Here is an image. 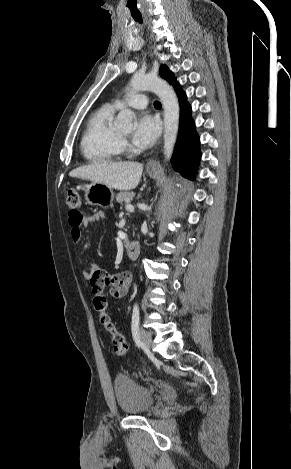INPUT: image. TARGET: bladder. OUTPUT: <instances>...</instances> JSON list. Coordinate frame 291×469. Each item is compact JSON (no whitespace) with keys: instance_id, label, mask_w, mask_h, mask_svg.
<instances>
[{"instance_id":"1","label":"bladder","mask_w":291,"mask_h":469,"mask_svg":"<svg viewBox=\"0 0 291 469\" xmlns=\"http://www.w3.org/2000/svg\"><path fill=\"white\" fill-rule=\"evenodd\" d=\"M114 394L119 409L126 415H140L154 404V395L124 374L114 379Z\"/></svg>"}]
</instances>
